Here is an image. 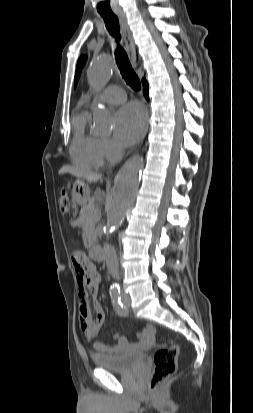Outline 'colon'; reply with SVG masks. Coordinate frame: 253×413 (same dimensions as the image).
I'll return each instance as SVG.
<instances>
[{
	"label": "colon",
	"mask_w": 253,
	"mask_h": 413,
	"mask_svg": "<svg viewBox=\"0 0 253 413\" xmlns=\"http://www.w3.org/2000/svg\"><path fill=\"white\" fill-rule=\"evenodd\" d=\"M59 207L63 215L71 210V202L68 194L62 192L59 197ZM160 347L154 355V368L148 381V391L156 393L161 384L171 377L177 368L179 345L171 340L159 339Z\"/></svg>",
	"instance_id": "5ec220e1"
}]
</instances>
